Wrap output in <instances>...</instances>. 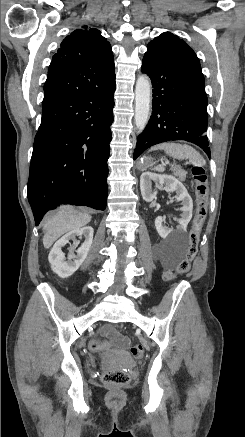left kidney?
Returning a JSON list of instances; mask_svg holds the SVG:
<instances>
[{
    "mask_svg": "<svg viewBox=\"0 0 245 437\" xmlns=\"http://www.w3.org/2000/svg\"><path fill=\"white\" fill-rule=\"evenodd\" d=\"M152 181L159 183L158 188L164 189L167 192H175L176 200L181 201L182 207L180 208L182 214L179 219V225L176 230H166L163 226V218L158 216L155 219V227L159 236L163 239L171 237L173 239L182 238L187 229V225L192 218L193 201L188 194L185 186L171 175H161L152 172H144L140 177V190L143 199L146 202H152L156 199L157 191L152 190Z\"/></svg>",
    "mask_w": 245,
    "mask_h": 437,
    "instance_id": "5707ae66",
    "label": "left kidney"
}]
</instances>
